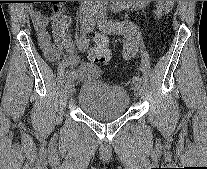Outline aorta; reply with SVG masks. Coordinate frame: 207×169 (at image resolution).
I'll return each instance as SVG.
<instances>
[{
	"label": "aorta",
	"mask_w": 207,
	"mask_h": 169,
	"mask_svg": "<svg viewBox=\"0 0 207 169\" xmlns=\"http://www.w3.org/2000/svg\"><path fill=\"white\" fill-rule=\"evenodd\" d=\"M107 1H95L96 4L103 5ZM132 4V1H115V5L118 9H126L129 8Z\"/></svg>",
	"instance_id": "obj_1"
}]
</instances>
